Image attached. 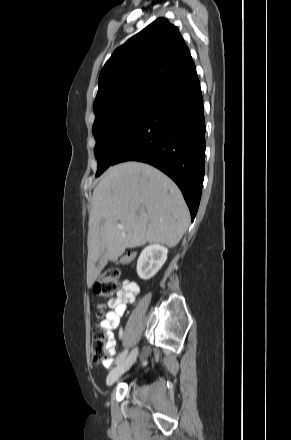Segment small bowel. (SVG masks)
Segmentation results:
<instances>
[{
    "instance_id": "obj_1",
    "label": "small bowel",
    "mask_w": 291,
    "mask_h": 440,
    "mask_svg": "<svg viewBox=\"0 0 291 440\" xmlns=\"http://www.w3.org/2000/svg\"><path fill=\"white\" fill-rule=\"evenodd\" d=\"M140 292V287L129 281L123 283L121 294L118 297L113 298L109 301L108 306L112 308L109 311L105 319L101 321L102 327L107 333V347L110 350L111 358L103 362L105 368H109L112 365V356L115 354V337L113 329L117 328L120 324L121 318L125 315L128 305L132 304ZM122 331L120 336H122Z\"/></svg>"
}]
</instances>
